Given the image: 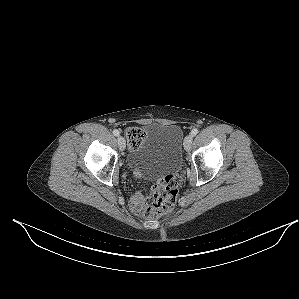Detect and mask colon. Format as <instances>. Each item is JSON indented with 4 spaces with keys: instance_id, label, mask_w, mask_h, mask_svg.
Segmentation results:
<instances>
[{
    "instance_id": "5ec220e1",
    "label": "colon",
    "mask_w": 299,
    "mask_h": 299,
    "mask_svg": "<svg viewBox=\"0 0 299 299\" xmlns=\"http://www.w3.org/2000/svg\"><path fill=\"white\" fill-rule=\"evenodd\" d=\"M126 138L129 148L135 150L144 139V132L138 127H130L126 130ZM181 177L177 173L166 175L153 188V201L147 208L150 218H159L170 212L176 202Z\"/></svg>"
}]
</instances>
